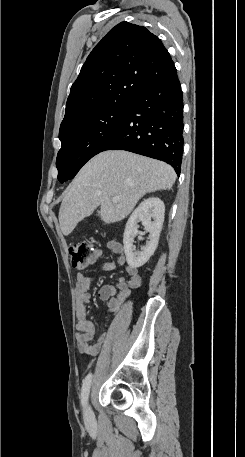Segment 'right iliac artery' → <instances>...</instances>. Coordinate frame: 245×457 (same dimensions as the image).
<instances>
[{"label": "right iliac artery", "instance_id": "1", "mask_svg": "<svg viewBox=\"0 0 245 457\" xmlns=\"http://www.w3.org/2000/svg\"><path fill=\"white\" fill-rule=\"evenodd\" d=\"M91 381H92V374L89 373L83 381V386H82V391H81V398H82L81 401H82L83 405H85L88 400Z\"/></svg>", "mask_w": 245, "mask_h": 457}]
</instances>
